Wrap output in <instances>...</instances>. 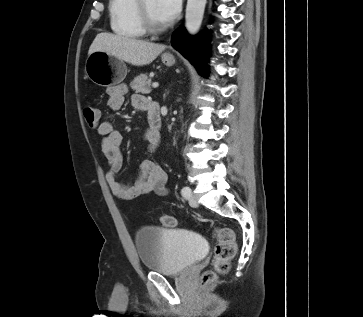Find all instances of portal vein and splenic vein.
Masks as SVG:
<instances>
[{
  "mask_svg": "<svg viewBox=\"0 0 363 317\" xmlns=\"http://www.w3.org/2000/svg\"><path fill=\"white\" fill-rule=\"evenodd\" d=\"M158 86H159V84L157 82H155V83L152 84V87L153 88H157Z\"/></svg>",
  "mask_w": 363,
  "mask_h": 317,
  "instance_id": "1",
  "label": "portal vein and splenic vein"
}]
</instances>
